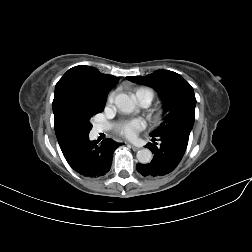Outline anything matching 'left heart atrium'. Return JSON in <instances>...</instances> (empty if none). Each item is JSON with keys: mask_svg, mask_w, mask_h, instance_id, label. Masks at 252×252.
<instances>
[{"mask_svg": "<svg viewBox=\"0 0 252 252\" xmlns=\"http://www.w3.org/2000/svg\"><path fill=\"white\" fill-rule=\"evenodd\" d=\"M145 128V121L141 118L124 120L115 125V130L128 139L135 138Z\"/></svg>", "mask_w": 252, "mask_h": 252, "instance_id": "39dd6f15", "label": "left heart atrium"}]
</instances>
